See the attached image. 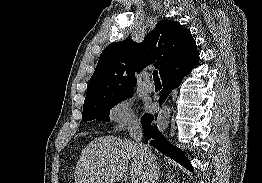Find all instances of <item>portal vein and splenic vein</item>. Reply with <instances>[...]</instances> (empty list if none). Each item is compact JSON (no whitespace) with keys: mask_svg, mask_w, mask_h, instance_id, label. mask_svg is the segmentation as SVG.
Listing matches in <instances>:
<instances>
[{"mask_svg":"<svg viewBox=\"0 0 262 183\" xmlns=\"http://www.w3.org/2000/svg\"><path fill=\"white\" fill-rule=\"evenodd\" d=\"M138 182H139L138 178L132 177L131 183H138Z\"/></svg>","mask_w":262,"mask_h":183,"instance_id":"1","label":"portal vein and splenic vein"}]
</instances>
